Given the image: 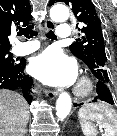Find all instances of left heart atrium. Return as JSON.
<instances>
[{
    "mask_svg": "<svg viewBox=\"0 0 117 136\" xmlns=\"http://www.w3.org/2000/svg\"><path fill=\"white\" fill-rule=\"evenodd\" d=\"M30 72L47 85L61 86L74 82L77 68L75 62L60 49L49 48L32 60Z\"/></svg>",
    "mask_w": 117,
    "mask_h": 136,
    "instance_id": "obj_1",
    "label": "left heart atrium"
}]
</instances>
